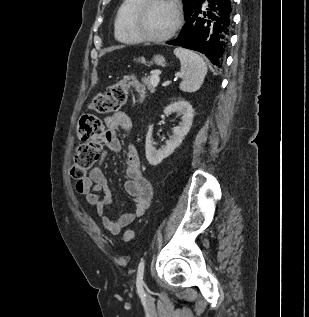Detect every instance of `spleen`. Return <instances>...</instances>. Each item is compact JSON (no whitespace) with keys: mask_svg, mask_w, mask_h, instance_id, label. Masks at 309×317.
Here are the masks:
<instances>
[{"mask_svg":"<svg viewBox=\"0 0 309 317\" xmlns=\"http://www.w3.org/2000/svg\"><path fill=\"white\" fill-rule=\"evenodd\" d=\"M174 54L181 63L180 75L183 80L179 86L180 90L189 93L197 91L207 74L205 61L197 53L181 47L175 48Z\"/></svg>","mask_w":309,"mask_h":317,"instance_id":"obj_1","label":"spleen"}]
</instances>
